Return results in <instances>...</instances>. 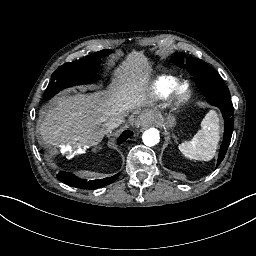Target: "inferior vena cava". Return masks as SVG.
<instances>
[{
	"instance_id": "602c4592",
	"label": "inferior vena cava",
	"mask_w": 256,
	"mask_h": 256,
	"mask_svg": "<svg viewBox=\"0 0 256 256\" xmlns=\"http://www.w3.org/2000/svg\"><path fill=\"white\" fill-rule=\"evenodd\" d=\"M124 120H125V116H118V117L112 118L107 122L106 127L108 129H113L114 127L120 125Z\"/></svg>"
}]
</instances>
